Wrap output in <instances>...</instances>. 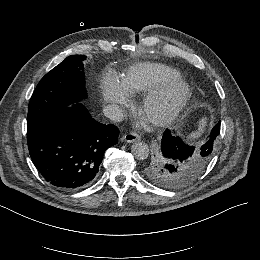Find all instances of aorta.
<instances>
[{"label": "aorta", "instance_id": "762f6f07", "mask_svg": "<svg viewBox=\"0 0 260 260\" xmlns=\"http://www.w3.org/2000/svg\"><path fill=\"white\" fill-rule=\"evenodd\" d=\"M131 152L136 159L144 160L149 155V147L145 142H135L131 147Z\"/></svg>", "mask_w": 260, "mask_h": 260}]
</instances>
